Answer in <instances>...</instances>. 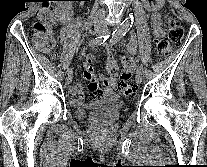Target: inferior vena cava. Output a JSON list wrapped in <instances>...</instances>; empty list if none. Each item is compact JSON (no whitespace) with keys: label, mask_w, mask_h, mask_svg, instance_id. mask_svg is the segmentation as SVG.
<instances>
[{"label":"inferior vena cava","mask_w":207,"mask_h":167,"mask_svg":"<svg viewBox=\"0 0 207 167\" xmlns=\"http://www.w3.org/2000/svg\"><path fill=\"white\" fill-rule=\"evenodd\" d=\"M99 14H100V15H104V14H105V11H104V10H100V11H99Z\"/></svg>","instance_id":"inferior-vena-cava-1"}]
</instances>
